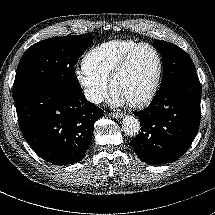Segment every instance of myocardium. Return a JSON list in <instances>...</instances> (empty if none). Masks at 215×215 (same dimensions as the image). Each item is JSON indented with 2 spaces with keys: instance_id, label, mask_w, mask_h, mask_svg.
<instances>
[{
  "instance_id": "obj_1",
  "label": "myocardium",
  "mask_w": 215,
  "mask_h": 215,
  "mask_svg": "<svg viewBox=\"0 0 215 215\" xmlns=\"http://www.w3.org/2000/svg\"><path fill=\"white\" fill-rule=\"evenodd\" d=\"M144 46L149 47L154 51L156 58H157V70H156L154 78H153L151 84L149 85L146 93L140 99H138L134 102H131V103H126L127 106H129L130 108H133V109H138V108H142V107L146 106L147 104H149L152 101V99L154 98V96L156 94V91L158 89V86H159V83L161 80L162 71H163V61H162V56H161L159 50L153 44H151L149 42H139V43L135 44L119 60L117 66L115 67V69L110 77V80H109L110 92H111V94H113L114 85H115L116 81L119 79V77L126 70L133 54L139 48L144 47Z\"/></svg>"
}]
</instances>
